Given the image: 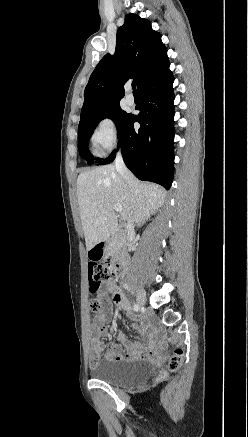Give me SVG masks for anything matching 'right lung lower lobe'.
<instances>
[{
	"mask_svg": "<svg viewBox=\"0 0 248 437\" xmlns=\"http://www.w3.org/2000/svg\"><path fill=\"white\" fill-rule=\"evenodd\" d=\"M167 59L138 88L141 102L119 136L126 166L140 180L152 181L169 189L174 171V77ZM134 122L140 123L135 130ZM111 153L100 164L111 163Z\"/></svg>",
	"mask_w": 248,
	"mask_h": 437,
	"instance_id": "1",
	"label": "right lung lower lobe"
}]
</instances>
